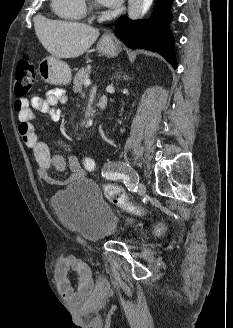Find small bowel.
I'll return each instance as SVG.
<instances>
[{"label":"small bowel","instance_id":"small-bowel-1","mask_svg":"<svg viewBox=\"0 0 233 328\" xmlns=\"http://www.w3.org/2000/svg\"><path fill=\"white\" fill-rule=\"evenodd\" d=\"M66 101L67 97L63 90L55 88L48 91L43 97L18 98L14 103L19 120L18 133L26 147L33 152L38 165V178L48 184H68L86 175L79 158L71 156L68 160V166L72 171L71 176L64 182L55 180L51 176V170L63 171L66 161L59 155H52L48 146L38 139L34 130L35 110L49 114L53 121H59L62 112L56 106ZM56 272L59 293L66 300L81 301L91 295L94 289L91 270L82 260L73 256L62 257L58 260ZM71 273L77 277L75 288L70 281Z\"/></svg>","mask_w":233,"mask_h":328}]
</instances>
